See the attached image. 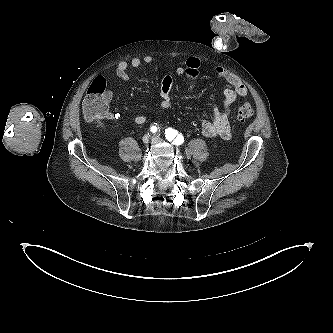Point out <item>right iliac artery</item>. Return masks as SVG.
Instances as JSON below:
<instances>
[{
	"mask_svg": "<svg viewBox=\"0 0 333 333\" xmlns=\"http://www.w3.org/2000/svg\"><path fill=\"white\" fill-rule=\"evenodd\" d=\"M157 130H158V128L156 127V126H151V128H150V131L152 132V133H156L157 132Z\"/></svg>",
	"mask_w": 333,
	"mask_h": 333,
	"instance_id": "obj_1",
	"label": "right iliac artery"
}]
</instances>
